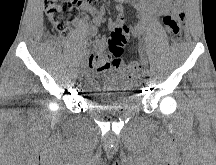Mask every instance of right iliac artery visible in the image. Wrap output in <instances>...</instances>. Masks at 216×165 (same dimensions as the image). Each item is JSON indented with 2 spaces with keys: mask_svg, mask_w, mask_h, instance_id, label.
Returning <instances> with one entry per match:
<instances>
[{
  "mask_svg": "<svg viewBox=\"0 0 216 165\" xmlns=\"http://www.w3.org/2000/svg\"><path fill=\"white\" fill-rule=\"evenodd\" d=\"M83 66H84V61L81 59V60L79 61L78 67H79V68H82Z\"/></svg>",
  "mask_w": 216,
  "mask_h": 165,
  "instance_id": "82829eb1",
  "label": "right iliac artery"
}]
</instances>
